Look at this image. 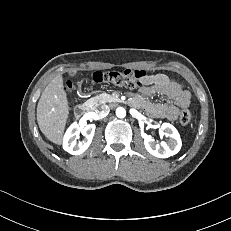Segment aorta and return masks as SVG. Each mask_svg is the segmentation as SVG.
<instances>
[{
	"instance_id": "aorta-1",
	"label": "aorta",
	"mask_w": 231,
	"mask_h": 231,
	"mask_svg": "<svg viewBox=\"0 0 231 231\" xmlns=\"http://www.w3.org/2000/svg\"><path fill=\"white\" fill-rule=\"evenodd\" d=\"M116 116L118 118H124L126 116V110L123 107H118L116 109Z\"/></svg>"
}]
</instances>
